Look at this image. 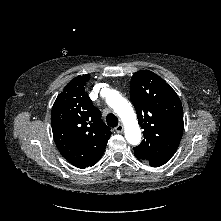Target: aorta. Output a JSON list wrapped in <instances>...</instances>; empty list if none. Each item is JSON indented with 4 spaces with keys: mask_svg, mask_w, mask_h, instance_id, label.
Wrapping results in <instances>:
<instances>
[{
    "mask_svg": "<svg viewBox=\"0 0 221 221\" xmlns=\"http://www.w3.org/2000/svg\"><path fill=\"white\" fill-rule=\"evenodd\" d=\"M107 104L121 118L125 126V138L128 143L138 145L141 130L131 104L118 91L111 90L106 98Z\"/></svg>",
    "mask_w": 221,
    "mask_h": 221,
    "instance_id": "762f6f07",
    "label": "aorta"
}]
</instances>
